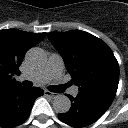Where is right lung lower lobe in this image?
Instances as JSON below:
<instances>
[{
    "instance_id": "obj_1",
    "label": "right lung lower lobe",
    "mask_w": 128,
    "mask_h": 128,
    "mask_svg": "<svg viewBox=\"0 0 128 128\" xmlns=\"http://www.w3.org/2000/svg\"><path fill=\"white\" fill-rule=\"evenodd\" d=\"M43 93L38 87L27 89L20 85L0 95V127L13 128L23 123L35 99Z\"/></svg>"
}]
</instances>
